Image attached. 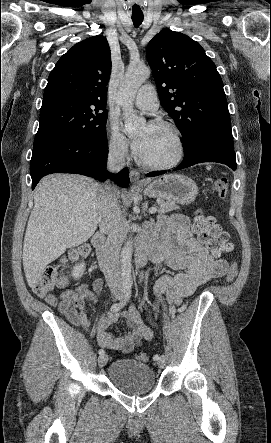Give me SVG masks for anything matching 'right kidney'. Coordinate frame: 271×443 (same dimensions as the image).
Here are the masks:
<instances>
[{
  "instance_id": "ca27d5eb",
  "label": "right kidney",
  "mask_w": 271,
  "mask_h": 443,
  "mask_svg": "<svg viewBox=\"0 0 271 443\" xmlns=\"http://www.w3.org/2000/svg\"><path fill=\"white\" fill-rule=\"evenodd\" d=\"M85 263H76L75 267L72 269V275L75 277V279H79V277H82L84 271H85Z\"/></svg>"
}]
</instances>
